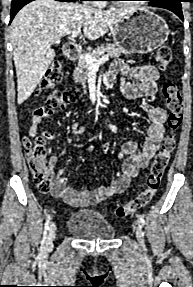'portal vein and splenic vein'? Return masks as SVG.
<instances>
[{
	"label": "portal vein and splenic vein",
	"instance_id": "obj_1",
	"mask_svg": "<svg viewBox=\"0 0 193 287\" xmlns=\"http://www.w3.org/2000/svg\"><path fill=\"white\" fill-rule=\"evenodd\" d=\"M80 32H81V28L75 29L72 32L71 39H74L75 37H77V35H79ZM84 58H85L86 63L89 65L91 69H98L102 63L106 62L109 59V55L105 54L101 58L95 59L90 54H84Z\"/></svg>",
	"mask_w": 193,
	"mask_h": 287
}]
</instances>
